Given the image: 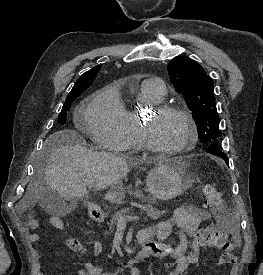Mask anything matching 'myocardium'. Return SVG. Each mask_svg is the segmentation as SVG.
<instances>
[{"label": "myocardium", "mask_w": 263, "mask_h": 275, "mask_svg": "<svg viewBox=\"0 0 263 275\" xmlns=\"http://www.w3.org/2000/svg\"><path fill=\"white\" fill-rule=\"evenodd\" d=\"M151 111H152L151 114H154V115L175 114V115L181 116L187 122L189 127V132L185 141L178 148L164 149L157 146L153 142L149 134L147 120L143 119L140 121V135L146 149L159 155L174 156V155L181 154L191 149L192 147H194L198 139V127L190 111H188L185 108H182L176 105H169V104L153 105Z\"/></svg>", "instance_id": "f54148a6"}]
</instances>
